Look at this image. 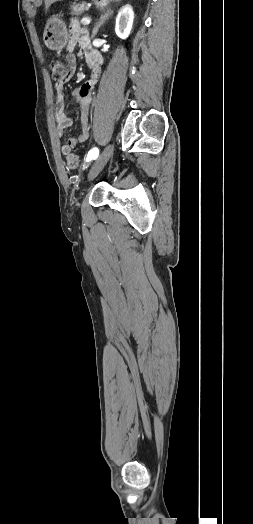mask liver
Instances as JSON below:
<instances>
[{
    "label": "liver",
    "mask_w": 253,
    "mask_h": 524,
    "mask_svg": "<svg viewBox=\"0 0 253 524\" xmlns=\"http://www.w3.org/2000/svg\"><path fill=\"white\" fill-rule=\"evenodd\" d=\"M57 1H60V0H45L46 9H48L51 4H53V3L57 2Z\"/></svg>",
    "instance_id": "1"
}]
</instances>
